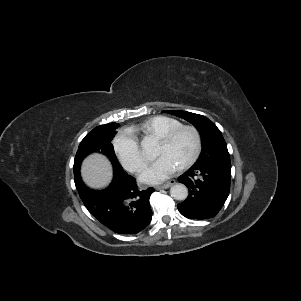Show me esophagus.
Here are the masks:
<instances>
[{
	"mask_svg": "<svg viewBox=\"0 0 301 301\" xmlns=\"http://www.w3.org/2000/svg\"><path fill=\"white\" fill-rule=\"evenodd\" d=\"M175 183H176V181L174 179H171L168 182H166L165 184L156 186L155 188L156 189H166V188H169L170 186L174 185Z\"/></svg>",
	"mask_w": 301,
	"mask_h": 301,
	"instance_id": "esophagus-1",
	"label": "esophagus"
}]
</instances>
